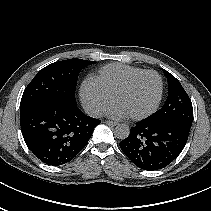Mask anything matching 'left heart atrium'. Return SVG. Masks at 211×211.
Here are the masks:
<instances>
[{
	"label": "left heart atrium",
	"instance_id": "left-heart-atrium-1",
	"mask_svg": "<svg viewBox=\"0 0 211 211\" xmlns=\"http://www.w3.org/2000/svg\"><path fill=\"white\" fill-rule=\"evenodd\" d=\"M107 115L115 119L127 118L128 113L116 102H113L107 110Z\"/></svg>",
	"mask_w": 211,
	"mask_h": 211
}]
</instances>
